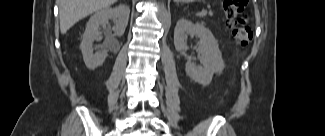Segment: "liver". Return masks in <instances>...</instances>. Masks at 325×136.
<instances>
[{
	"label": "liver",
	"instance_id": "liver-1",
	"mask_svg": "<svg viewBox=\"0 0 325 136\" xmlns=\"http://www.w3.org/2000/svg\"><path fill=\"white\" fill-rule=\"evenodd\" d=\"M117 0H57L60 31L65 34L84 17L115 3Z\"/></svg>",
	"mask_w": 325,
	"mask_h": 136
}]
</instances>
